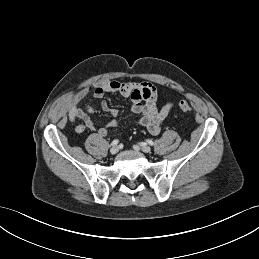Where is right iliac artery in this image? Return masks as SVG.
Returning <instances> with one entry per match:
<instances>
[{
	"label": "right iliac artery",
	"instance_id": "right-iliac-artery-1",
	"mask_svg": "<svg viewBox=\"0 0 259 259\" xmlns=\"http://www.w3.org/2000/svg\"><path fill=\"white\" fill-rule=\"evenodd\" d=\"M118 143H119V140L116 139V140L112 141L111 145L116 146Z\"/></svg>",
	"mask_w": 259,
	"mask_h": 259
}]
</instances>
